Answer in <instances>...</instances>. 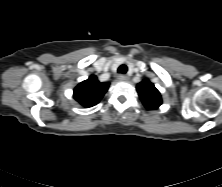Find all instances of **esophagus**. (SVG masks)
Returning a JSON list of instances; mask_svg holds the SVG:
<instances>
[{
  "label": "esophagus",
  "mask_w": 222,
  "mask_h": 187,
  "mask_svg": "<svg viewBox=\"0 0 222 187\" xmlns=\"http://www.w3.org/2000/svg\"><path fill=\"white\" fill-rule=\"evenodd\" d=\"M119 81H127L128 77L126 75H119L117 78Z\"/></svg>",
  "instance_id": "34e87169"
}]
</instances>
